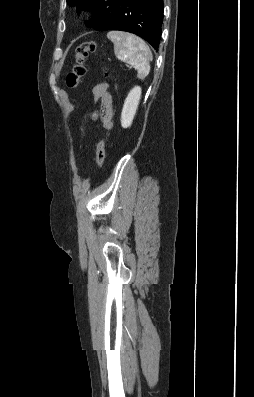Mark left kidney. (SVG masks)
<instances>
[{
	"mask_svg": "<svg viewBox=\"0 0 254 397\" xmlns=\"http://www.w3.org/2000/svg\"><path fill=\"white\" fill-rule=\"evenodd\" d=\"M140 97L141 87L139 86L134 87L127 95L121 113V126L123 128L131 126L138 108Z\"/></svg>",
	"mask_w": 254,
	"mask_h": 397,
	"instance_id": "1",
	"label": "left kidney"
}]
</instances>
